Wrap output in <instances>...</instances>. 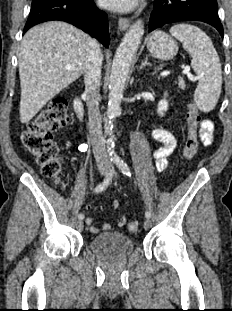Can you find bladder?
Returning <instances> with one entry per match:
<instances>
[{
	"instance_id": "bladder-1",
	"label": "bladder",
	"mask_w": 232,
	"mask_h": 311,
	"mask_svg": "<svg viewBox=\"0 0 232 311\" xmlns=\"http://www.w3.org/2000/svg\"><path fill=\"white\" fill-rule=\"evenodd\" d=\"M91 250L107 262H116L128 257L134 250L131 237L108 231L94 236L90 241Z\"/></svg>"
}]
</instances>
